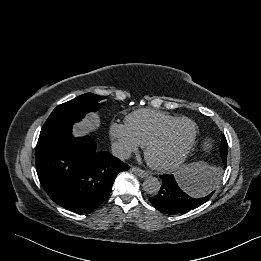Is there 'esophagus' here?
Here are the masks:
<instances>
[{
    "label": "esophagus",
    "mask_w": 261,
    "mask_h": 261,
    "mask_svg": "<svg viewBox=\"0 0 261 261\" xmlns=\"http://www.w3.org/2000/svg\"><path fill=\"white\" fill-rule=\"evenodd\" d=\"M131 171L136 174L137 176L141 177V178H144L148 175V173L144 170H142L141 168L139 167H132L131 168Z\"/></svg>",
    "instance_id": "obj_1"
}]
</instances>
